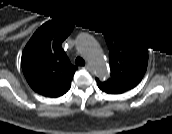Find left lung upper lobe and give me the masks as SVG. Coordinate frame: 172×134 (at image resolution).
Returning a JSON list of instances; mask_svg holds the SVG:
<instances>
[{"label":"left lung upper lobe","instance_id":"1","mask_svg":"<svg viewBox=\"0 0 172 134\" xmlns=\"http://www.w3.org/2000/svg\"><path fill=\"white\" fill-rule=\"evenodd\" d=\"M109 49L111 77L98 87L108 94H121L139 84L148 65V52L131 34L120 29L102 31Z\"/></svg>","mask_w":172,"mask_h":134}]
</instances>
